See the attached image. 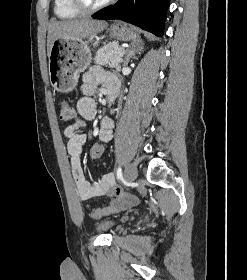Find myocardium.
Wrapping results in <instances>:
<instances>
[{
	"label": "myocardium",
	"instance_id": "f54148a6",
	"mask_svg": "<svg viewBox=\"0 0 247 280\" xmlns=\"http://www.w3.org/2000/svg\"><path fill=\"white\" fill-rule=\"evenodd\" d=\"M114 0H106L98 5L90 6L84 2V0H70L71 5L80 13H94L107 6H109Z\"/></svg>",
	"mask_w": 247,
	"mask_h": 280
}]
</instances>
